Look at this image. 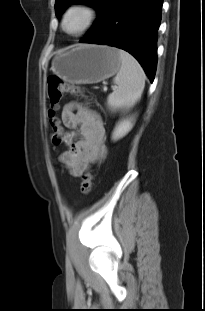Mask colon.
I'll return each instance as SVG.
<instances>
[{"instance_id":"5ec220e1","label":"colon","mask_w":205,"mask_h":311,"mask_svg":"<svg viewBox=\"0 0 205 311\" xmlns=\"http://www.w3.org/2000/svg\"><path fill=\"white\" fill-rule=\"evenodd\" d=\"M66 93H71L78 98H85L80 87L73 85L57 76L48 78V100H49V124L52 129L51 139L54 146H60L65 142V133L63 132L59 120L55 113L60 106L61 100ZM87 106V104L85 105ZM93 176L91 172H86L82 176L81 192L87 194L92 187Z\"/></svg>"}]
</instances>
